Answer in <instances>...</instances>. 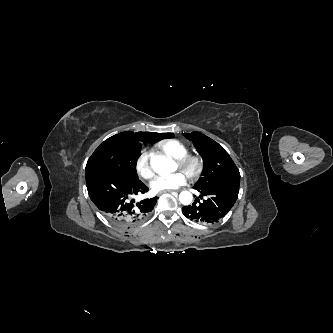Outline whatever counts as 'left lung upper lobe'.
<instances>
[{
    "label": "left lung upper lobe",
    "mask_w": 333,
    "mask_h": 333,
    "mask_svg": "<svg viewBox=\"0 0 333 333\" xmlns=\"http://www.w3.org/2000/svg\"><path fill=\"white\" fill-rule=\"evenodd\" d=\"M183 135L193 142L204 161V170L202 177L195 184L196 189L240 184L239 170L220 144L199 132L183 133ZM228 200V194H225L219 197L217 202L226 203Z\"/></svg>",
    "instance_id": "1"
}]
</instances>
